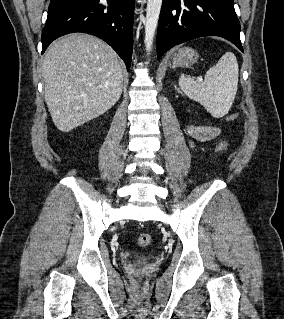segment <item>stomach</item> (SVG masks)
I'll return each mask as SVG.
<instances>
[{
    "label": "stomach",
    "mask_w": 284,
    "mask_h": 319,
    "mask_svg": "<svg viewBox=\"0 0 284 319\" xmlns=\"http://www.w3.org/2000/svg\"><path fill=\"white\" fill-rule=\"evenodd\" d=\"M198 59V53L190 48L183 47L173 53L169 58L168 64L172 68L176 67H190L196 63Z\"/></svg>",
    "instance_id": "stomach-1"
}]
</instances>
